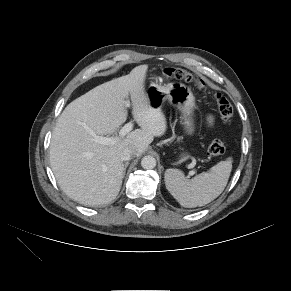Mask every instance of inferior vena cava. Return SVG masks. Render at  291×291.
<instances>
[{"instance_id":"obj_1","label":"inferior vena cava","mask_w":291,"mask_h":291,"mask_svg":"<svg viewBox=\"0 0 291 291\" xmlns=\"http://www.w3.org/2000/svg\"><path fill=\"white\" fill-rule=\"evenodd\" d=\"M135 155H136L135 150L126 148L121 153V160L122 161L131 160L133 157H135Z\"/></svg>"}]
</instances>
